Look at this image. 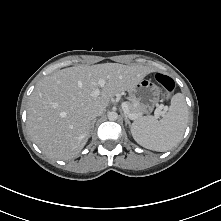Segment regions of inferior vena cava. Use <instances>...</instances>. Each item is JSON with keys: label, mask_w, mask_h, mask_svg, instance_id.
<instances>
[{"label": "inferior vena cava", "mask_w": 221, "mask_h": 221, "mask_svg": "<svg viewBox=\"0 0 221 221\" xmlns=\"http://www.w3.org/2000/svg\"><path fill=\"white\" fill-rule=\"evenodd\" d=\"M104 113V109L98 108L92 113V119L94 120L96 117L101 116Z\"/></svg>", "instance_id": "1"}]
</instances>
